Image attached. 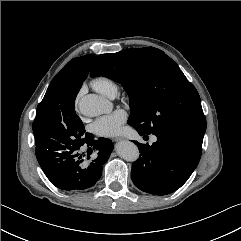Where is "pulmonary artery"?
<instances>
[{
  "instance_id": "obj_1",
  "label": "pulmonary artery",
  "mask_w": 241,
  "mask_h": 241,
  "mask_svg": "<svg viewBox=\"0 0 241 241\" xmlns=\"http://www.w3.org/2000/svg\"><path fill=\"white\" fill-rule=\"evenodd\" d=\"M115 95H112L111 97H114ZM156 140L155 137L152 138V141L154 142Z\"/></svg>"
}]
</instances>
